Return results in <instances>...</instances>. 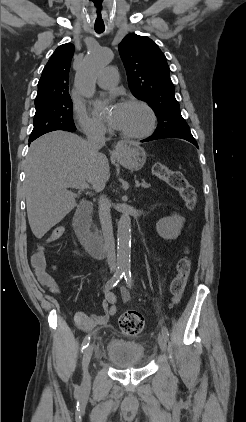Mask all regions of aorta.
<instances>
[{"mask_svg":"<svg viewBox=\"0 0 246 422\" xmlns=\"http://www.w3.org/2000/svg\"><path fill=\"white\" fill-rule=\"evenodd\" d=\"M112 56L111 50L102 47L90 50L85 56L75 76L76 87L83 96L91 98L94 95L97 75ZM130 254L131 218L128 212H124L117 227V263L121 269L130 267Z\"/></svg>","mask_w":246,"mask_h":422,"instance_id":"1","label":"aorta"}]
</instances>
